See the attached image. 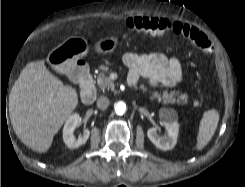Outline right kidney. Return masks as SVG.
<instances>
[{
  "mask_svg": "<svg viewBox=\"0 0 245 187\" xmlns=\"http://www.w3.org/2000/svg\"><path fill=\"white\" fill-rule=\"evenodd\" d=\"M79 121V114L74 113L68 118L63 128V141L70 149H75L85 144L90 135L89 129H84L83 133L78 138H75L74 130L79 124Z\"/></svg>",
  "mask_w": 245,
  "mask_h": 187,
  "instance_id": "obj_1",
  "label": "right kidney"
}]
</instances>
